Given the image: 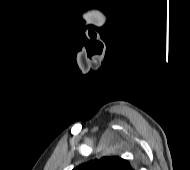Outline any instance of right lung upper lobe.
Segmentation results:
<instances>
[{"instance_id": "cb5924a9", "label": "right lung upper lobe", "mask_w": 190, "mask_h": 170, "mask_svg": "<svg viewBox=\"0 0 190 170\" xmlns=\"http://www.w3.org/2000/svg\"><path fill=\"white\" fill-rule=\"evenodd\" d=\"M73 170H134L130 163L117 156H107L81 164Z\"/></svg>"}]
</instances>
